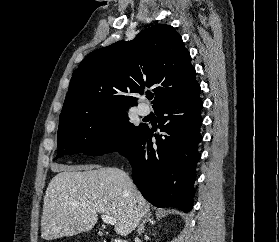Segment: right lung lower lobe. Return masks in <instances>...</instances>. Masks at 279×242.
I'll return each mask as SVG.
<instances>
[{
	"mask_svg": "<svg viewBox=\"0 0 279 242\" xmlns=\"http://www.w3.org/2000/svg\"><path fill=\"white\" fill-rule=\"evenodd\" d=\"M200 86L157 108L158 127L163 135L155 136L145 126L121 154L132 166V178L146 200L156 207H176L190 212L193 206L196 166L202 140Z\"/></svg>",
	"mask_w": 279,
	"mask_h": 242,
	"instance_id": "98d812e1",
	"label": "right lung lower lobe"
}]
</instances>
